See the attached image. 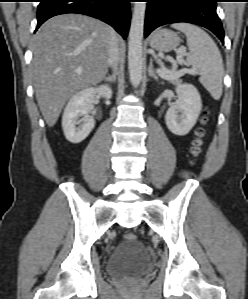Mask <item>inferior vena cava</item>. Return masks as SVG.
<instances>
[{"mask_svg":"<svg viewBox=\"0 0 248 299\" xmlns=\"http://www.w3.org/2000/svg\"><path fill=\"white\" fill-rule=\"evenodd\" d=\"M119 59L118 39L114 33L108 41V62L111 67L116 68Z\"/></svg>","mask_w":248,"mask_h":299,"instance_id":"602c4592","label":"inferior vena cava"}]
</instances>
